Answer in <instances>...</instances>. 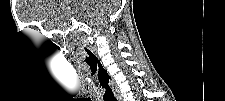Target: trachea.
<instances>
[{
  "label": "trachea",
  "instance_id": "1",
  "mask_svg": "<svg viewBox=\"0 0 225 101\" xmlns=\"http://www.w3.org/2000/svg\"><path fill=\"white\" fill-rule=\"evenodd\" d=\"M105 88V94L103 96L104 101H117L113 95L112 89L108 85H103Z\"/></svg>",
  "mask_w": 225,
  "mask_h": 101
}]
</instances>
